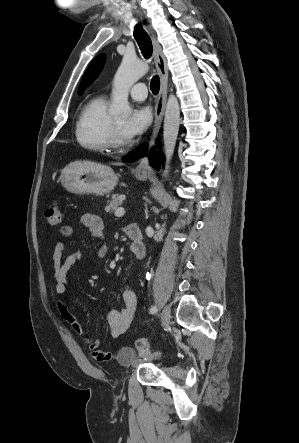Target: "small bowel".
<instances>
[{"instance_id":"c3829d8e","label":"small bowel","mask_w":299,"mask_h":443,"mask_svg":"<svg viewBox=\"0 0 299 443\" xmlns=\"http://www.w3.org/2000/svg\"><path fill=\"white\" fill-rule=\"evenodd\" d=\"M79 223L82 227L87 228L91 235L97 239L98 246L93 257L88 256L82 251H76L63 257L65 244L61 241L56 243L53 253L55 292L57 294L56 307L61 317L69 323L73 331L84 339L92 357L99 362H108L116 359V355L109 351H102L100 349V341L92 339L86 335L80 320L76 317L75 308L69 305V302L65 297L67 289V274L71 267L81 260L92 261L102 259L107 253L105 226L102 219L96 215L85 214L80 218ZM60 234L63 237H71L73 235L72 226L63 225L60 229ZM136 258L141 259L138 257ZM120 296L123 303L122 306L120 308L110 309L107 313V324L110 333L114 338L121 336L129 329L137 308V296L133 290L121 287Z\"/></svg>"}]
</instances>
